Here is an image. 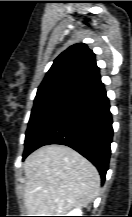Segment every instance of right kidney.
<instances>
[{
  "label": "right kidney",
  "instance_id": "right-kidney-1",
  "mask_svg": "<svg viewBox=\"0 0 132 217\" xmlns=\"http://www.w3.org/2000/svg\"><path fill=\"white\" fill-rule=\"evenodd\" d=\"M81 210L80 209H75L70 214H67L68 216H81Z\"/></svg>",
  "mask_w": 132,
  "mask_h": 217
}]
</instances>
